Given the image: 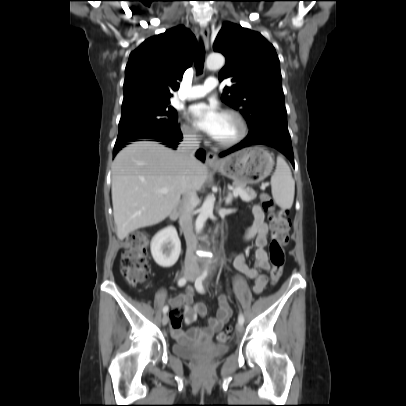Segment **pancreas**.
<instances>
[{"mask_svg":"<svg viewBox=\"0 0 406 406\" xmlns=\"http://www.w3.org/2000/svg\"><path fill=\"white\" fill-rule=\"evenodd\" d=\"M234 187H235V189L236 188L242 189L247 194V196H248L247 198L241 197V199L245 202H249V201L253 200L254 198H256V196H257L255 191H253L251 189H247L246 186H244V185L234 183Z\"/></svg>","mask_w":406,"mask_h":406,"instance_id":"1","label":"pancreas"}]
</instances>
